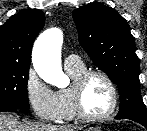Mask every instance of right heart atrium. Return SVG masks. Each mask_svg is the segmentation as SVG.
I'll list each match as a JSON object with an SVG mask.
<instances>
[{
  "label": "right heart atrium",
  "mask_w": 147,
  "mask_h": 131,
  "mask_svg": "<svg viewBox=\"0 0 147 131\" xmlns=\"http://www.w3.org/2000/svg\"><path fill=\"white\" fill-rule=\"evenodd\" d=\"M25 93L34 115L41 121L55 122L61 115L57 93L49 88L34 69L27 72Z\"/></svg>",
  "instance_id": "right-heart-atrium-1"
}]
</instances>
